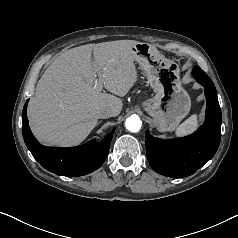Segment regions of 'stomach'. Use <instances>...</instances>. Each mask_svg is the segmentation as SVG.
Segmentation results:
<instances>
[{
	"label": "stomach",
	"instance_id": "0dacf381",
	"mask_svg": "<svg viewBox=\"0 0 238 238\" xmlns=\"http://www.w3.org/2000/svg\"><path fill=\"white\" fill-rule=\"evenodd\" d=\"M136 61L155 96L142 103L161 132L173 131L190 111L191 100L182 87L179 65L165 58L155 46L138 42L132 48Z\"/></svg>",
	"mask_w": 238,
	"mask_h": 238
}]
</instances>
